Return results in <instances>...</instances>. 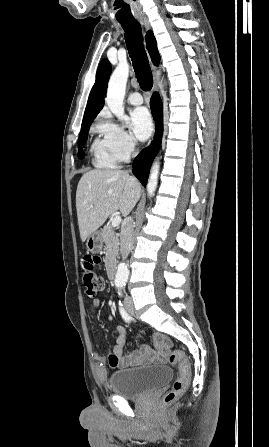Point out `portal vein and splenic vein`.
I'll use <instances>...</instances> for the list:
<instances>
[{
    "label": "portal vein and splenic vein",
    "mask_w": 269,
    "mask_h": 447,
    "mask_svg": "<svg viewBox=\"0 0 269 447\" xmlns=\"http://www.w3.org/2000/svg\"><path fill=\"white\" fill-rule=\"evenodd\" d=\"M120 222H121L120 216H115V218H113L112 220L113 227H117V225H120Z\"/></svg>",
    "instance_id": "18ae733b"
}]
</instances>
